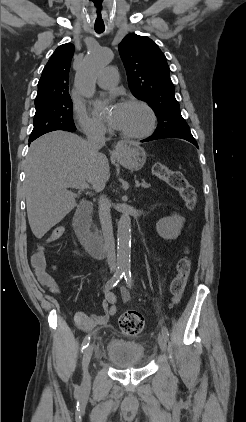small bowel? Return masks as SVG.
Segmentation results:
<instances>
[{"instance_id": "1", "label": "small bowel", "mask_w": 246, "mask_h": 422, "mask_svg": "<svg viewBox=\"0 0 246 422\" xmlns=\"http://www.w3.org/2000/svg\"><path fill=\"white\" fill-rule=\"evenodd\" d=\"M39 279L42 284L47 286L52 292L59 293L60 288L53 279V277L47 273L39 274ZM122 298L124 301H128L130 299V294L127 289H122ZM116 296L110 290L104 289V300L102 306L104 308V314L102 315H89L83 312H79L75 315V322L76 325L84 330V331H91L95 327L99 325L106 324L108 320L113 317L116 312Z\"/></svg>"}]
</instances>
